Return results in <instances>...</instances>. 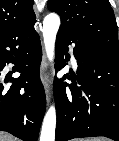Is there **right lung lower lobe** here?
<instances>
[{
	"mask_svg": "<svg viewBox=\"0 0 119 141\" xmlns=\"http://www.w3.org/2000/svg\"><path fill=\"white\" fill-rule=\"evenodd\" d=\"M42 49L34 24L0 41V130L24 141H37L45 113V92L39 77ZM14 63L20 77L4 76ZM12 82L8 88L5 84Z\"/></svg>",
	"mask_w": 119,
	"mask_h": 141,
	"instance_id": "1",
	"label": "right lung lower lobe"
}]
</instances>
